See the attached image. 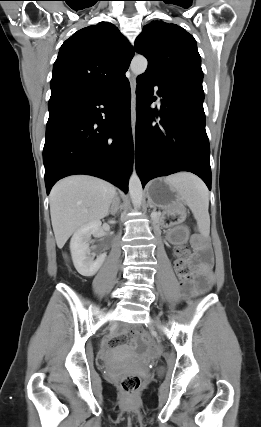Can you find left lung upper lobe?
Here are the masks:
<instances>
[{
    "instance_id": "5c2ea615",
    "label": "left lung upper lobe",
    "mask_w": 261,
    "mask_h": 427,
    "mask_svg": "<svg viewBox=\"0 0 261 427\" xmlns=\"http://www.w3.org/2000/svg\"><path fill=\"white\" fill-rule=\"evenodd\" d=\"M135 50L148 59V67L142 77L163 86L182 85L204 92L196 41L182 27L153 21L136 39Z\"/></svg>"
}]
</instances>
